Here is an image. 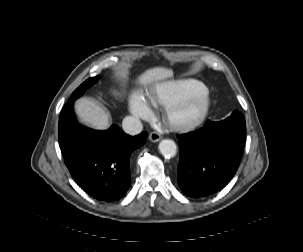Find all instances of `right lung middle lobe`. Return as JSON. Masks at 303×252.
Instances as JSON below:
<instances>
[{
    "label": "right lung middle lobe",
    "instance_id": "obj_1",
    "mask_svg": "<svg viewBox=\"0 0 303 252\" xmlns=\"http://www.w3.org/2000/svg\"><path fill=\"white\" fill-rule=\"evenodd\" d=\"M99 79V76H96V77H93V78H90L88 80H86L84 83H82L74 92L73 94L71 95V98H75L77 99L78 97H80L83 93H84V90L93 85L94 83H96Z\"/></svg>",
    "mask_w": 303,
    "mask_h": 252
}]
</instances>
